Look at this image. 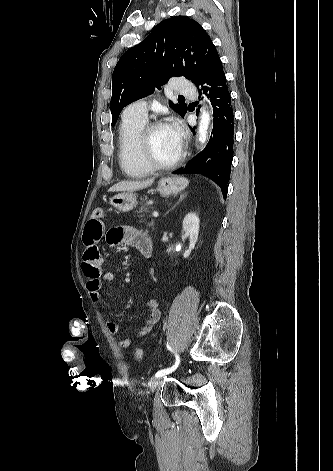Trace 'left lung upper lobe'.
<instances>
[{"label": "left lung upper lobe", "mask_w": 333, "mask_h": 471, "mask_svg": "<svg viewBox=\"0 0 333 471\" xmlns=\"http://www.w3.org/2000/svg\"><path fill=\"white\" fill-rule=\"evenodd\" d=\"M216 52L202 26L187 16H174L160 22L138 45L127 50L112 76V126L122 109L133 101L161 89L172 76H184L193 83L201 77ZM172 108L184 117L185 104Z\"/></svg>", "instance_id": "5c2ea615"}]
</instances>
